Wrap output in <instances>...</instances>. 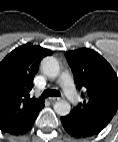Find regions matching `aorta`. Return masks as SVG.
<instances>
[{
    "label": "aorta",
    "mask_w": 118,
    "mask_h": 142,
    "mask_svg": "<svg viewBox=\"0 0 118 142\" xmlns=\"http://www.w3.org/2000/svg\"><path fill=\"white\" fill-rule=\"evenodd\" d=\"M41 69L43 73L50 78H56L60 73L58 62L51 57L43 60ZM54 110L60 116H67L71 111V105L68 101L61 100L54 105Z\"/></svg>",
    "instance_id": "1"
}]
</instances>
